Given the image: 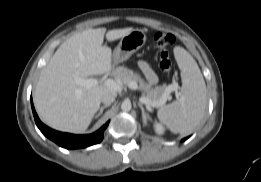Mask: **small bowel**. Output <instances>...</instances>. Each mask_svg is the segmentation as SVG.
Instances as JSON below:
<instances>
[{
    "mask_svg": "<svg viewBox=\"0 0 261 182\" xmlns=\"http://www.w3.org/2000/svg\"><path fill=\"white\" fill-rule=\"evenodd\" d=\"M139 68L150 85H154L157 82V76L147 62L140 61Z\"/></svg>",
    "mask_w": 261,
    "mask_h": 182,
    "instance_id": "c3829d8e",
    "label": "small bowel"
}]
</instances>
